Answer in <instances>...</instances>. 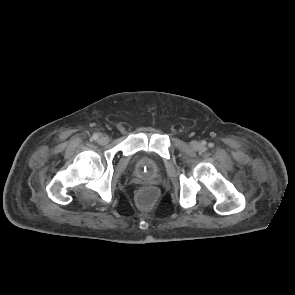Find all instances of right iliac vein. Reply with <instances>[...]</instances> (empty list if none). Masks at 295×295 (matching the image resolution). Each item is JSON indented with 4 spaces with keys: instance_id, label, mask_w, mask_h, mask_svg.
<instances>
[{
    "instance_id": "63e3f726",
    "label": "right iliac vein",
    "mask_w": 295,
    "mask_h": 295,
    "mask_svg": "<svg viewBox=\"0 0 295 295\" xmlns=\"http://www.w3.org/2000/svg\"><path fill=\"white\" fill-rule=\"evenodd\" d=\"M98 142H99L100 144H102V145H105V144H107V143L109 142V137L106 136V135H102V136L99 138Z\"/></svg>"
}]
</instances>
